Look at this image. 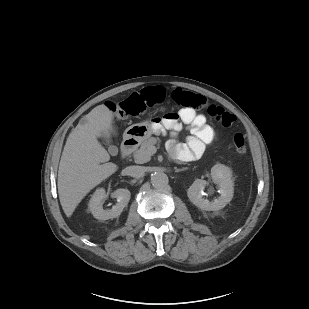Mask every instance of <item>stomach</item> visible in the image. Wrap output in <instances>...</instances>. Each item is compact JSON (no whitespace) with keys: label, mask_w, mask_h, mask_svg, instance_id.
<instances>
[{"label":"stomach","mask_w":309,"mask_h":309,"mask_svg":"<svg viewBox=\"0 0 309 309\" xmlns=\"http://www.w3.org/2000/svg\"><path fill=\"white\" fill-rule=\"evenodd\" d=\"M153 134L150 122H142L129 126L124 132L125 139H134L138 142L148 139Z\"/></svg>","instance_id":"1"}]
</instances>
